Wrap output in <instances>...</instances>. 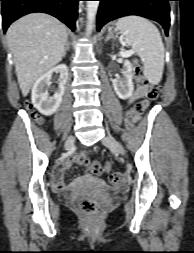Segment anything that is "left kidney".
Listing matches in <instances>:
<instances>
[{
	"label": "left kidney",
	"instance_id": "left-kidney-1",
	"mask_svg": "<svg viewBox=\"0 0 194 253\" xmlns=\"http://www.w3.org/2000/svg\"><path fill=\"white\" fill-rule=\"evenodd\" d=\"M122 74L123 78L113 79L112 83L118 97L125 100L132 96L134 90L132 81L133 67L130 61H124Z\"/></svg>",
	"mask_w": 194,
	"mask_h": 253
}]
</instances>
